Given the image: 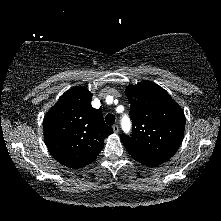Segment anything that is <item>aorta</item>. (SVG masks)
Here are the masks:
<instances>
[{
  "instance_id": "762f6f07",
  "label": "aorta",
  "mask_w": 221,
  "mask_h": 221,
  "mask_svg": "<svg viewBox=\"0 0 221 221\" xmlns=\"http://www.w3.org/2000/svg\"><path fill=\"white\" fill-rule=\"evenodd\" d=\"M121 123H122V128L128 132L130 129H131V121L129 119L128 116H123L122 117V120H121Z\"/></svg>"
}]
</instances>
